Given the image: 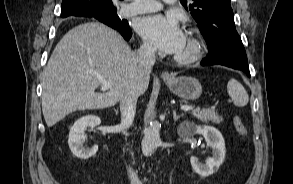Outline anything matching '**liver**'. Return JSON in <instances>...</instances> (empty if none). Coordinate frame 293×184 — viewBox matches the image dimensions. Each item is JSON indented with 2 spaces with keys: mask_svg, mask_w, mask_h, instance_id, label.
Masks as SVG:
<instances>
[{
  "mask_svg": "<svg viewBox=\"0 0 293 184\" xmlns=\"http://www.w3.org/2000/svg\"><path fill=\"white\" fill-rule=\"evenodd\" d=\"M102 76L112 85L95 90ZM150 74L140 72L137 54L114 29L88 22L68 31L56 45L42 75V112L52 127L77 110L114 106L127 88L139 95L149 85Z\"/></svg>",
  "mask_w": 293,
  "mask_h": 184,
  "instance_id": "liver-1",
  "label": "liver"
}]
</instances>
